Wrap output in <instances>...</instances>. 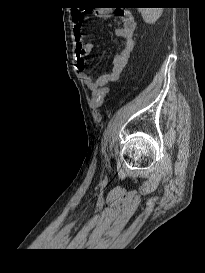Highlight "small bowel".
<instances>
[{
	"label": "small bowel",
	"mask_w": 205,
	"mask_h": 273,
	"mask_svg": "<svg viewBox=\"0 0 205 273\" xmlns=\"http://www.w3.org/2000/svg\"><path fill=\"white\" fill-rule=\"evenodd\" d=\"M112 16V10L101 9L98 17L108 19ZM121 26L116 30V35L123 39V44L113 59L112 70L101 74L98 78L93 79L84 70L85 57L94 50V44L85 41L82 33L83 16L80 13H73V31L76 39V67L84 80L86 86L93 93L100 90L109 83L115 82L123 72L133 50V34L136 28V22L131 13L126 11L119 12Z\"/></svg>",
	"instance_id": "c3829d8e"
}]
</instances>
